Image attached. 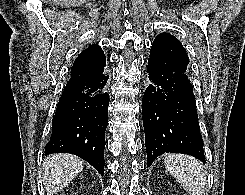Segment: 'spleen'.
Wrapping results in <instances>:
<instances>
[{"label":"spleen","mask_w":245,"mask_h":195,"mask_svg":"<svg viewBox=\"0 0 245 195\" xmlns=\"http://www.w3.org/2000/svg\"><path fill=\"white\" fill-rule=\"evenodd\" d=\"M164 164L189 195L203 194L206 172L199 160L188 155L169 154L164 159Z\"/></svg>","instance_id":"spleen-1"}]
</instances>
